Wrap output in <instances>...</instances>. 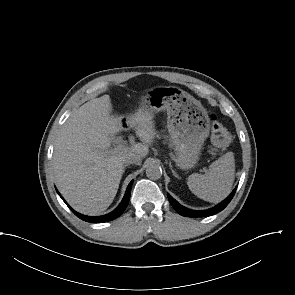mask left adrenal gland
<instances>
[{
    "label": "left adrenal gland",
    "mask_w": 295,
    "mask_h": 295,
    "mask_svg": "<svg viewBox=\"0 0 295 295\" xmlns=\"http://www.w3.org/2000/svg\"><path fill=\"white\" fill-rule=\"evenodd\" d=\"M170 169H171L173 175H174L176 178L180 179V177L178 176V174L173 170L171 163H170Z\"/></svg>",
    "instance_id": "a2214340"
}]
</instances>
